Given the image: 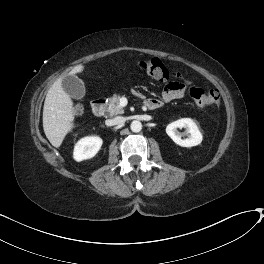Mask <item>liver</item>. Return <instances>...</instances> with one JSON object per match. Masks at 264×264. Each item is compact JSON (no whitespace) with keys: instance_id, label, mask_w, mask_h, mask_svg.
<instances>
[{"instance_id":"6515ba94","label":"liver","mask_w":264,"mask_h":264,"mask_svg":"<svg viewBox=\"0 0 264 264\" xmlns=\"http://www.w3.org/2000/svg\"><path fill=\"white\" fill-rule=\"evenodd\" d=\"M84 70L83 65L75 66L68 75ZM63 77L57 79L45 98L43 107V129L49 142L60 147L66 135L74 127L75 109L73 101L63 88Z\"/></svg>"}]
</instances>
